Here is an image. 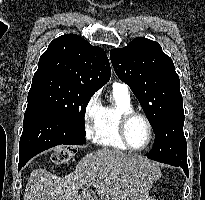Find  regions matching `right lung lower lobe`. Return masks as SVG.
Here are the masks:
<instances>
[{"mask_svg":"<svg viewBox=\"0 0 205 200\" xmlns=\"http://www.w3.org/2000/svg\"><path fill=\"white\" fill-rule=\"evenodd\" d=\"M86 143L85 135L51 110L28 104L19 143L18 171L36 154L60 144Z\"/></svg>","mask_w":205,"mask_h":200,"instance_id":"right-lung-lower-lobe-1","label":"right lung lower lobe"}]
</instances>
